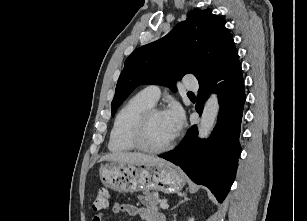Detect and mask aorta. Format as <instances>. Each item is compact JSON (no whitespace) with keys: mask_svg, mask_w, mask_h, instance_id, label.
I'll return each mask as SVG.
<instances>
[{"mask_svg":"<svg viewBox=\"0 0 307 221\" xmlns=\"http://www.w3.org/2000/svg\"><path fill=\"white\" fill-rule=\"evenodd\" d=\"M219 111V100L216 94H211L207 99L198 126V136L207 138L210 134Z\"/></svg>","mask_w":307,"mask_h":221,"instance_id":"obj_1","label":"aorta"}]
</instances>
